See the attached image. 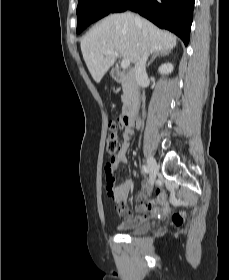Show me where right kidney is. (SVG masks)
Here are the masks:
<instances>
[{
	"label": "right kidney",
	"mask_w": 229,
	"mask_h": 280,
	"mask_svg": "<svg viewBox=\"0 0 229 280\" xmlns=\"http://www.w3.org/2000/svg\"><path fill=\"white\" fill-rule=\"evenodd\" d=\"M172 71H173V65L171 63H164L158 69V72L161 74H168L171 73Z\"/></svg>",
	"instance_id": "right-kidney-1"
}]
</instances>
